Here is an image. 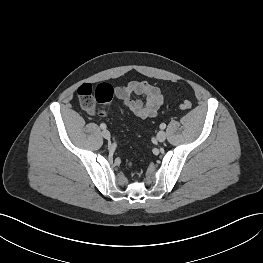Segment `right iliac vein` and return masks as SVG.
Returning a JSON list of instances; mask_svg holds the SVG:
<instances>
[{
  "label": "right iliac vein",
  "mask_w": 263,
  "mask_h": 263,
  "mask_svg": "<svg viewBox=\"0 0 263 263\" xmlns=\"http://www.w3.org/2000/svg\"><path fill=\"white\" fill-rule=\"evenodd\" d=\"M102 136H103L105 139H107V140H109V139L111 138L110 132H109L108 130H106V129H104V130L102 131Z\"/></svg>",
  "instance_id": "obj_1"
}]
</instances>
